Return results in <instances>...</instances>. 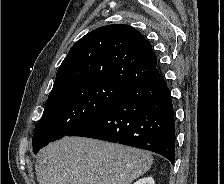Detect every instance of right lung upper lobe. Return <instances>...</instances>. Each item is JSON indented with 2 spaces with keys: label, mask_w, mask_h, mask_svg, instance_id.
Wrapping results in <instances>:
<instances>
[{
  "label": "right lung upper lobe",
  "mask_w": 224,
  "mask_h": 184,
  "mask_svg": "<svg viewBox=\"0 0 224 184\" xmlns=\"http://www.w3.org/2000/svg\"><path fill=\"white\" fill-rule=\"evenodd\" d=\"M151 44L131 26L99 27L78 40L60 65L48 97L86 81L128 87L160 76Z\"/></svg>",
  "instance_id": "1"
}]
</instances>
